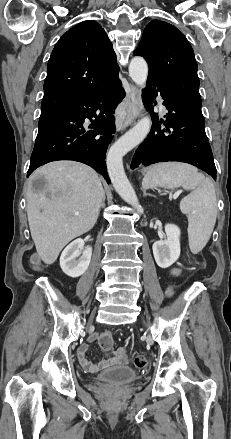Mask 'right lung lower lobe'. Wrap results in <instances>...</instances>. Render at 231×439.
I'll use <instances>...</instances> for the list:
<instances>
[{
  "mask_svg": "<svg viewBox=\"0 0 231 439\" xmlns=\"http://www.w3.org/2000/svg\"><path fill=\"white\" fill-rule=\"evenodd\" d=\"M124 96L117 77L106 89L40 118L27 176L48 162L74 160L94 168L109 184L106 151L115 132L113 113ZM86 118L89 126L84 124Z\"/></svg>",
  "mask_w": 231,
  "mask_h": 439,
  "instance_id": "1",
  "label": "right lung lower lobe"
}]
</instances>
